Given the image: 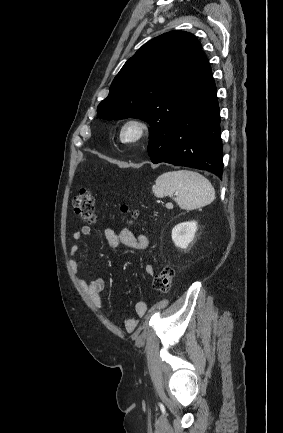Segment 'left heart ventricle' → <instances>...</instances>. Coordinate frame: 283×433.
Returning <instances> with one entry per match:
<instances>
[{"label":"left heart ventricle","instance_id":"left-heart-ventricle-1","mask_svg":"<svg viewBox=\"0 0 283 433\" xmlns=\"http://www.w3.org/2000/svg\"><path fill=\"white\" fill-rule=\"evenodd\" d=\"M133 134H134V129H128L124 133L125 137H130Z\"/></svg>","mask_w":283,"mask_h":433}]
</instances>
